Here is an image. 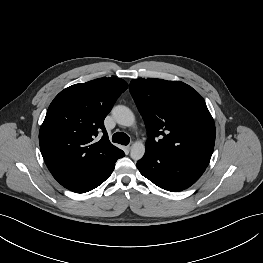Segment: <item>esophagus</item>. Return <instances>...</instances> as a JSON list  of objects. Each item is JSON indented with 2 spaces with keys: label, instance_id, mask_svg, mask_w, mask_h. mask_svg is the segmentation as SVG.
Segmentation results:
<instances>
[{
  "label": "esophagus",
  "instance_id": "esophagus-1",
  "mask_svg": "<svg viewBox=\"0 0 263 263\" xmlns=\"http://www.w3.org/2000/svg\"><path fill=\"white\" fill-rule=\"evenodd\" d=\"M126 149H127L128 151H130L131 145L126 146Z\"/></svg>",
  "mask_w": 263,
  "mask_h": 263
}]
</instances>
